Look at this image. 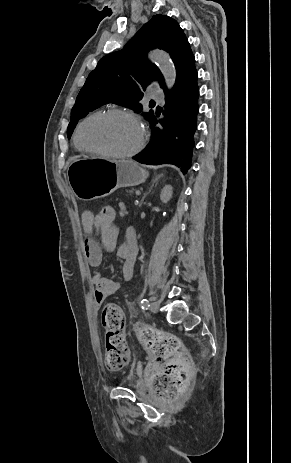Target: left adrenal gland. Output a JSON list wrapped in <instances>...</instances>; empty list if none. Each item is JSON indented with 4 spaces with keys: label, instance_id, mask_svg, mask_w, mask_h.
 Returning <instances> with one entry per match:
<instances>
[{
    "label": "left adrenal gland",
    "instance_id": "a2214340",
    "mask_svg": "<svg viewBox=\"0 0 291 463\" xmlns=\"http://www.w3.org/2000/svg\"><path fill=\"white\" fill-rule=\"evenodd\" d=\"M161 176H162V175H160V176H158V177L155 178V180L153 181L152 187L154 186L155 183H158V181H159V179H160ZM152 187L150 188V190L152 189ZM150 190H149V191H150ZM145 197H146V195H144V197H143L142 201L140 202L139 206L142 205V202L144 201V198H145Z\"/></svg>",
    "mask_w": 291,
    "mask_h": 463
}]
</instances>
